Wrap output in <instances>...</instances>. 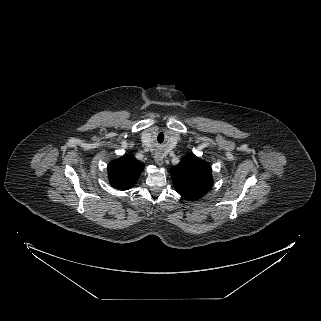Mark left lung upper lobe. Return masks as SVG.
Returning <instances> with one entry per match:
<instances>
[{
  "label": "left lung upper lobe",
  "mask_w": 321,
  "mask_h": 321,
  "mask_svg": "<svg viewBox=\"0 0 321 321\" xmlns=\"http://www.w3.org/2000/svg\"><path fill=\"white\" fill-rule=\"evenodd\" d=\"M170 173L176 191L190 200L201 198L213 185L209 164L192 153L172 167Z\"/></svg>",
  "instance_id": "5c2ea615"
}]
</instances>
